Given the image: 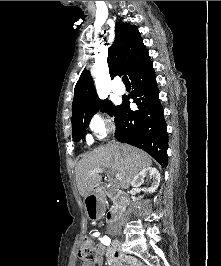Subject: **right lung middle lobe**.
I'll return each mask as SVG.
<instances>
[{"mask_svg": "<svg viewBox=\"0 0 221 266\" xmlns=\"http://www.w3.org/2000/svg\"><path fill=\"white\" fill-rule=\"evenodd\" d=\"M119 106H114L109 100H99L94 108L87 113L80 114L72 118V135L74 141H79L84 138L86 128L92 116L100 109L102 112H107L111 116H115Z\"/></svg>", "mask_w": 221, "mask_h": 266, "instance_id": "obj_1", "label": "right lung middle lobe"}]
</instances>
